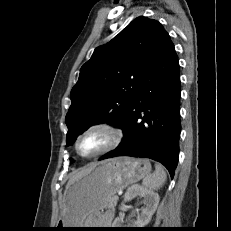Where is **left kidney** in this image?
I'll use <instances>...</instances> for the list:
<instances>
[{"instance_id": "obj_1", "label": "left kidney", "mask_w": 231, "mask_h": 231, "mask_svg": "<svg viewBox=\"0 0 231 231\" xmlns=\"http://www.w3.org/2000/svg\"><path fill=\"white\" fill-rule=\"evenodd\" d=\"M135 197L143 198L145 207L141 210V214L137 217V220L133 223L135 228H143L147 225L154 212L157 209L159 203V195L153 191L142 188L139 185L131 186L124 196V201H130ZM121 219L116 218L113 222V227L117 228L120 226Z\"/></svg>"}]
</instances>
